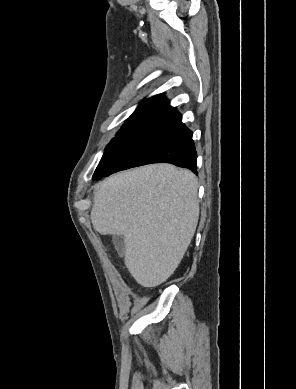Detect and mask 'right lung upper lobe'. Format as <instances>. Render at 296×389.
Instances as JSON below:
<instances>
[{"label":"right lung upper lobe","instance_id":"cb5924a9","mask_svg":"<svg viewBox=\"0 0 296 389\" xmlns=\"http://www.w3.org/2000/svg\"><path fill=\"white\" fill-rule=\"evenodd\" d=\"M147 116L168 118L179 121L182 120L181 114L174 107L170 106L169 101L163 94L153 96L152 98L142 102L131 115L130 119Z\"/></svg>","mask_w":296,"mask_h":389}]
</instances>
